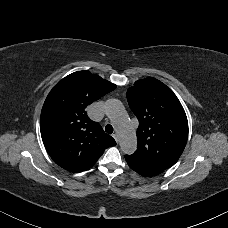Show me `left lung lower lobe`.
<instances>
[{
    "label": "left lung lower lobe",
    "mask_w": 228,
    "mask_h": 228,
    "mask_svg": "<svg viewBox=\"0 0 228 228\" xmlns=\"http://www.w3.org/2000/svg\"><path fill=\"white\" fill-rule=\"evenodd\" d=\"M125 159L130 168L136 171L137 173L141 174L142 176L158 175L165 170L164 168L137 160L129 155H126Z\"/></svg>",
    "instance_id": "left-lung-lower-lobe-1"
}]
</instances>
